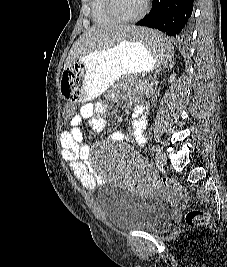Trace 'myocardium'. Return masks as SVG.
I'll return each instance as SVG.
<instances>
[{
  "instance_id": "myocardium-1",
  "label": "myocardium",
  "mask_w": 227,
  "mask_h": 267,
  "mask_svg": "<svg viewBox=\"0 0 227 267\" xmlns=\"http://www.w3.org/2000/svg\"><path fill=\"white\" fill-rule=\"evenodd\" d=\"M117 0H105V6L108 14L119 23H133L143 18L148 11V0H144L141 10L133 16H123L117 9Z\"/></svg>"
}]
</instances>
